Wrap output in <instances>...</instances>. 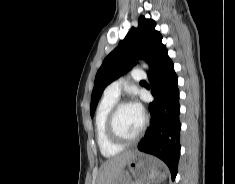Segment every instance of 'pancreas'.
Instances as JSON below:
<instances>
[{
  "mask_svg": "<svg viewBox=\"0 0 235 184\" xmlns=\"http://www.w3.org/2000/svg\"><path fill=\"white\" fill-rule=\"evenodd\" d=\"M133 184H137V182H133Z\"/></svg>",
  "mask_w": 235,
  "mask_h": 184,
  "instance_id": "1",
  "label": "pancreas"
}]
</instances>
